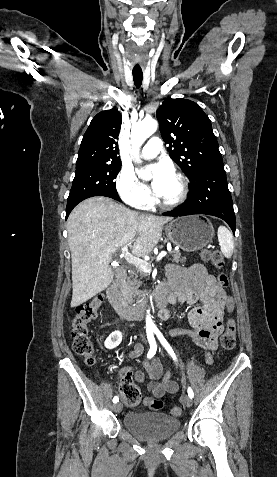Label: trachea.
<instances>
[{
    "label": "trachea",
    "instance_id": "1",
    "mask_svg": "<svg viewBox=\"0 0 277 477\" xmlns=\"http://www.w3.org/2000/svg\"><path fill=\"white\" fill-rule=\"evenodd\" d=\"M133 80H134V84L137 88H139L142 84V80H143V73L141 70H133Z\"/></svg>",
    "mask_w": 277,
    "mask_h": 477
}]
</instances>
